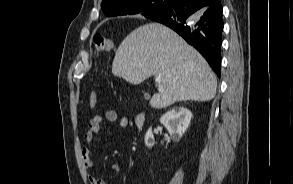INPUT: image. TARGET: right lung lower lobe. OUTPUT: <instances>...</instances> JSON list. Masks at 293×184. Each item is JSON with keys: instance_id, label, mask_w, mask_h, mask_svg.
<instances>
[{"instance_id": "1", "label": "right lung lower lobe", "mask_w": 293, "mask_h": 184, "mask_svg": "<svg viewBox=\"0 0 293 184\" xmlns=\"http://www.w3.org/2000/svg\"><path fill=\"white\" fill-rule=\"evenodd\" d=\"M222 11L220 0L208 7L201 0H174L151 20L163 23L181 35L220 77Z\"/></svg>"}]
</instances>
